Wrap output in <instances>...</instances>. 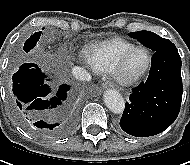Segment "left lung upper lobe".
I'll use <instances>...</instances> for the list:
<instances>
[{
    "instance_id": "1",
    "label": "left lung upper lobe",
    "mask_w": 190,
    "mask_h": 165,
    "mask_svg": "<svg viewBox=\"0 0 190 165\" xmlns=\"http://www.w3.org/2000/svg\"><path fill=\"white\" fill-rule=\"evenodd\" d=\"M128 35L137 39L144 46L150 48L154 52L172 43L170 40L161 38L157 34L150 31L131 32Z\"/></svg>"
}]
</instances>
